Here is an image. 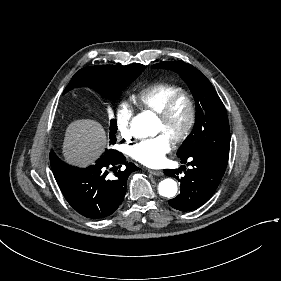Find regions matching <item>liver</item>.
Instances as JSON below:
<instances>
[{"mask_svg":"<svg viewBox=\"0 0 281 281\" xmlns=\"http://www.w3.org/2000/svg\"><path fill=\"white\" fill-rule=\"evenodd\" d=\"M108 143L104 126L96 119H77L64 132L62 155L73 168L94 164L105 153Z\"/></svg>","mask_w":281,"mask_h":281,"instance_id":"6515ba94","label":"liver"}]
</instances>
